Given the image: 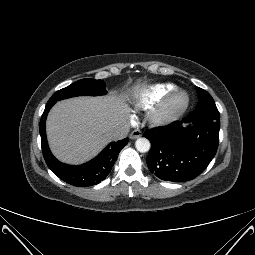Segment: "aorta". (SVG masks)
I'll return each mask as SVG.
<instances>
[{
    "label": "aorta",
    "mask_w": 255,
    "mask_h": 255,
    "mask_svg": "<svg viewBox=\"0 0 255 255\" xmlns=\"http://www.w3.org/2000/svg\"><path fill=\"white\" fill-rule=\"evenodd\" d=\"M137 151L146 153L150 150L151 144L147 138H138L135 143Z\"/></svg>",
    "instance_id": "762f6f07"
}]
</instances>
